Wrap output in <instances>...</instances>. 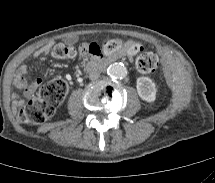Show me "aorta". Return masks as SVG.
Wrapping results in <instances>:
<instances>
[{"label": "aorta", "instance_id": "762f6f07", "mask_svg": "<svg viewBox=\"0 0 215 183\" xmlns=\"http://www.w3.org/2000/svg\"><path fill=\"white\" fill-rule=\"evenodd\" d=\"M108 75L121 79L127 76V68L123 63H113L107 69Z\"/></svg>", "mask_w": 215, "mask_h": 183}]
</instances>
